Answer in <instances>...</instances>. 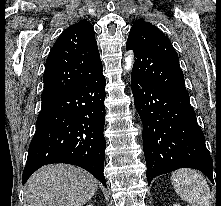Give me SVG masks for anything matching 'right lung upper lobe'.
I'll return each mask as SVG.
<instances>
[{
    "mask_svg": "<svg viewBox=\"0 0 221 206\" xmlns=\"http://www.w3.org/2000/svg\"><path fill=\"white\" fill-rule=\"evenodd\" d=\"M101 71L93 26L81 20L68 27L53 45L46 60L41 100L76 87Z\"/></svg>",
    "mask_w": 221,
    "mask_h": 206,
    "instance_id": "right-lung-upper-lobe-1",
    "label": "right lung upper lobe"
}]
</instances>
